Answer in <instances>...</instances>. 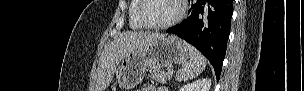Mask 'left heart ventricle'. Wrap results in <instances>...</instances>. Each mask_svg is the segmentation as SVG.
I'll use <instances>...</instances> for the list:
<instances>
[{
  "instance_id": "left-heart-ventricle-1",
  "label": "left heart ventricle",
  "mask_w": 304,
  "mask_h": 91,
  "mask_svg": "<svg viewBox=\"0 0 304 91\" xmlns=\"http://www.w3.org/2000/svg\"><path fill=\"white\" fill-rule=\"evenodd\" d=\"M178 11L176 0H146L143 15L151 24H162L173 19Z\"/></svg>"
}]
</instances>
